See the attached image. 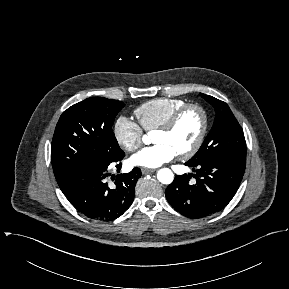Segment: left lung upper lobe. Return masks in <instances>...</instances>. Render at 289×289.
<instances>
[{
	"instance_id": "5c2ea615",
	"label": "left lung upper lobe",
	"mask_w": 289,
	"mask_h": 289,
	"mask_svg": "<svg viewBox=\"0 0 289 289\" xmlns=\"http://www.w3.org/2000/svg\"><path fill=\"white\" fill-rule=\"evenodd\" d=\"M200 95L214 107L216 116L213 127L202 146L188 162L199 164L225 155L246 156L243 130L229 106L215 97L203 93Z\"/></svg>"
}]
</instances>
